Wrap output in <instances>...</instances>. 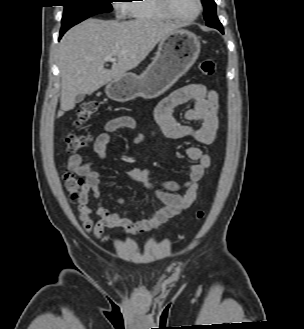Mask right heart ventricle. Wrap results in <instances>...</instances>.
Wrapping results in <instances>:
<instances>
[{"label":"right heart ventricle","instance_id":"obj_1","mask_svg":"<svg viewBox=\"0 0 304 329\" xmlns=\"http://www.w3.org/2000/svg\"><path fill=\"white\" fill-rule=\"evenodd\" d=\"M132 2L127 4V7L129 14L135 20L157 21L168 18L158 0H134Z\"/></svg>","mask_w":304,"mask_h":329}]
</instances>
